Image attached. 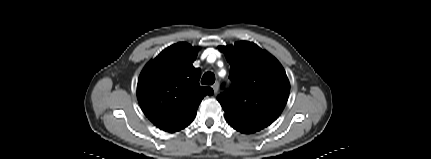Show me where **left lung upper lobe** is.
<instances>
[{"instance_id":"left-lung-upper-lobe-1","label":"left lung upper lobe","mask_w":431,"mask_h":159,"mask_svg":"<svg viewBox=\"0 0 431 159\" xmlns=\"http://www.w3.org/2000/svg\"><path fill=\"white\" fill-rule=\"evenodd\" d=\"M218 48L231 65L233 86L218 96L228 124L247 134L267 127L279 117L289 96L282 65L252 42Z\"/></svg>"}]
</instances>
